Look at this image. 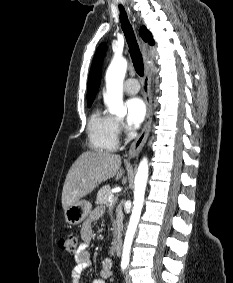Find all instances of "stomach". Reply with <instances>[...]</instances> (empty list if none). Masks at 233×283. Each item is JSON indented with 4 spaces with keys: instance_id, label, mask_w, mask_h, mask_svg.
<instances>
[{
    "instance_id": "1",
    "label": "stomach",
    "mask_w": 233,
    "mask_h": 283,
    "mask_svg": "<svg viewBox=\"0 0 233 283\" xmlns=\"http://www.w3.org/2000/svg\"><path fill=\"white\" fill-rule=\"evenodd\" d=\"M91 209L90 202L81 200L64 210L65 221L70 225H78L88 216Z\"/></svg>"
}]
</instances>
